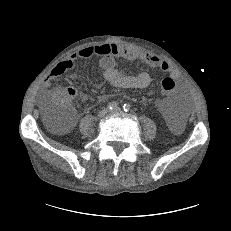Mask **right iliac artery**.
<instances>
[{
  "mask_svg": "<svg viewBox=\"0 0 231 231\" xmlns=\"http://www.w3.org/2000/svg\"><path fill=\"white\" fill-rule=\"evenodd\" d=\"M117 102H110L109 104H108V109H114V108H116L117 107Z\"/></svg>",
  "mask_w": 231,
  "mask_h": 231,
  "instance_id": "right-iliac-artery-1",
  "label": "right iliac artery"
}]
</instances>
